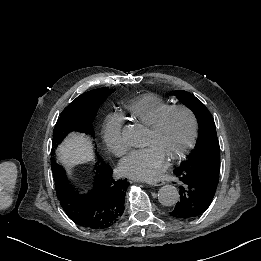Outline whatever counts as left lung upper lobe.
I'll return each mask as SVG.
<instances>
[{
  "instance_id": "1",
  "label": "left lung upper lobe",
  "mask_w": 261,
  "mask_h": 261,
  "mask_svg": "<svg viewBox=\"0 0 261 261\" xmlns=\"http://www.w3.org/2000/svg\"><path fill=\"white\" fill-rule=\"evenodd\" d=\"M174 95L193 111L199 123L196 146L180 168L206 167L220 170V146L211 113L189 92L176 90Z\"/></svg>"
}]
</instances>
